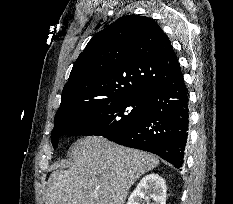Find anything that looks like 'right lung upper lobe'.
Returning <instances> with one entry per match:
<instances>
[{
    "mask_svg": "<svg viewBox=\"0 0 233 204\" xmlns=\"http://www.w3.org/2000/svg\"><path fill=\"white\" fill-rule=\"evenodd\" d=\"M178 65L168 37L154 20L123 16L97 33L77 58L55 125L109 101L148 96Z\"/></svg>",
    "mask_w": 233,
    "mask_h": 204,
    "instance_id": "obj_1",
    "label": "right lung upper lobe"
}]
</instances>
